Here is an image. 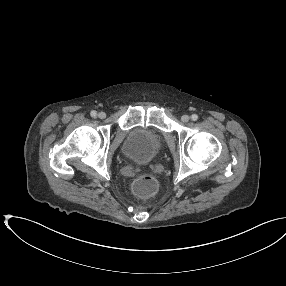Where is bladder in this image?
Segmentation results:
<instances>
[{"mask_svg":"<svg viewBox=\"0 0 286 286\" xmlns=\"http://www.w3.org/2000/svg\"><path fill=\"white\" fill-rule=\"evenodd\" d=\"M161 136L154 130L136 128L125 139L123 152L137 164L150 163L160 152Z\"/></svg>","mask_w":286,"mask_h":286,"instance_id":"obj_1","label":"bladder"}]
</instances>
